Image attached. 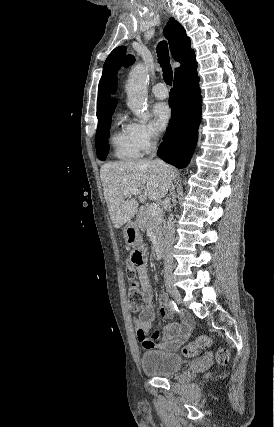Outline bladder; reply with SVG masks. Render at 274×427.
<instances>
[{
  "mask_svg": "<svg viewBox=\"0 0 274 427\" xmlns=\"http://www.w3.org/2000/svg\"><path fill=\"white\" fill-rule=\"evenodd\" d=\"M143 374L156 377H171L183 368L177 352L147 350L140 356Z\"/></svg>",
  "mask_w": 274,
  "mask_h": 427,
  "instance_id": "1",
  "label": "bladder"
}]
</instances>
